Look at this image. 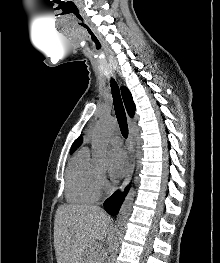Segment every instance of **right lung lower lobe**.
Masks as SVG:
<instances>
[{"label": "right lung lower lobe", "instance_id": "right-lung-lower-lobe-1", "mask_svg": "<svg viewBox=\"0 0 220 263\" xmlns=\"http://www.w3.org/2000/svg\"><path fill=\"white\" fill-rule=\"evenodd\" d=\"M127 192H128V188H126L124 193H120L119 191L115 192L111 197H109L105 201L104 203L105 210L111 215H116L119 211V208Z\"/></svg>", "mask_w": 220, "mask_h": 263}]
</instances>
